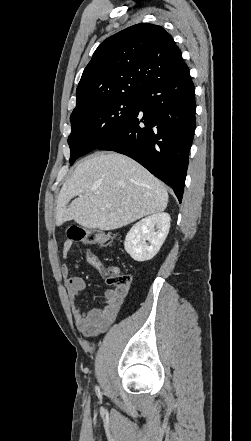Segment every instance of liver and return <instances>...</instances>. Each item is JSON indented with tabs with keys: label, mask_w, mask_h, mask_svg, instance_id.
<instances>
[{
	"label": "liver",
	"mask_w": 251,
	"mask_h": 441,
	"mask_svg": "<svg viewBox=\"0 0 251 441\" xmlns=\"http://www.w3.org/2000/svg\"><path fill=\"white\" fill-rule=\"evenodd\" d=\"M167 204L164 185L139 163L119 153H98L79 163L63 184L56 225L74 220L88 229L115 230Z\"/></svg>",
	"instance_id": "6515ba94"
}]
</instances>
